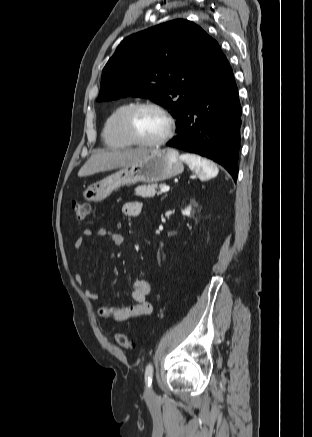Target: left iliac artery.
I'll return each instance as SVG.
<instances>
[{"label":"left iliac artery","instance_id":"left-iliac-artery-1","mask_svg":"<svg viewBox=\"0 0 312 437\" xmlns=\"http://www.w3.org/2000/svg\"><path fill=\"white\" fill-rule=\"evenodd\" d=\"M152 378H153V366L151 363H149L146 366V370H145V382L148 387H151Z\"/></svg>","mask_w":312,"mask_h":437}]
</instances>
